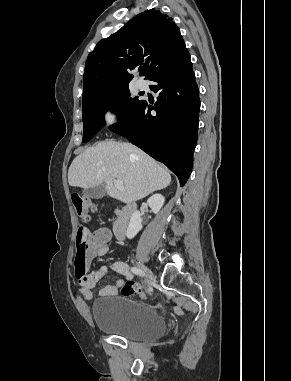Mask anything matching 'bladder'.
I'll list each match as a JSON object with an SVG mask.
<instances>
[{
	"label": "bladder",
	"instance_id": "31cf9c89",
	"mask_svg": "<svg viewBox=\"0 0 291 381\" xmlns=\"http://www.w3.org/2000/svg\"><path fill=\"white\" fill-rule=\"evenodd\" d=\"M92 314L98 329L129 340L152 341L166 331L165 320L155 309L126 297L97 300Z\"/></svg>",
	"mask_w": 291,
	"mask_h": 381
}]
</instances>
